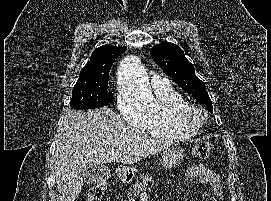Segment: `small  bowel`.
<instances>
[{
    "label": "small bowel",
    "instance_id": "c3829d8e",
    "mask_svg": "<svg viewBox=\"0 0 271 201\" xmlns=\"http://www.w3.org/2000/svg\"><path fill=\"white\" fill-rule=\"evenodd\" d=\"M186 177L190 180L198 179L202 184L209 186L215 193L211 201H220L223 190L220 184L219 176L202 164L190 167L186 172Z\"/></svg>",
    "mask_w": 271,
    "mask_h": 201
}]
</instances>
